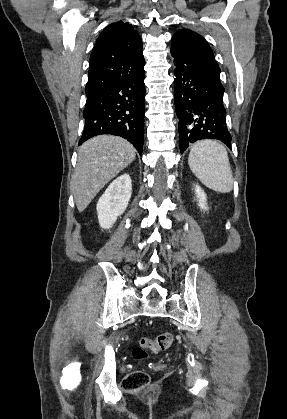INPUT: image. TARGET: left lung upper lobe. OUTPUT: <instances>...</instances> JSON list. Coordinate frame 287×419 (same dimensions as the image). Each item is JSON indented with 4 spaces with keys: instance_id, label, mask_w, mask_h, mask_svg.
Segmentation results:
<instances>
[{
    "instance_id": "left-lung-upper-lobe-1",
    "label": "left lung upper lobe",
    "mask_w": 287,
    "mask_h": 419,
    "mask_svg": "<svg viewBox=\"0 0 287 419\" xmlns=\"http://www.w3.org/2000/svg\"><path fill=\"white\" fill-rule=\"evenodd\" d=\"M171 54L175 66L189 70H220L207 41L199 34L180 30L172 37Z\"/></svg>"
}]
</instances>
